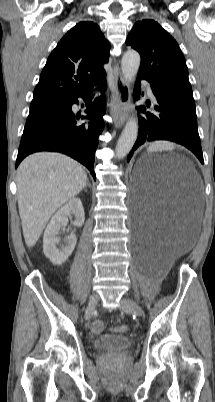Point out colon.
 <instances>
[{
    "instance_id": "1",
    "label": "colon",
    "mask_w": 215,
    "mask_h": 402,
    "mask_svg": "<svg viewBox=\"0 0 215 402\" xmlns=\"http://www.w3.org/2000/svg\"><path fill=\"white\" fill-rule=\"evenodd\" d=\"M121 329H124V327H121ZM91 330L94 334H100L104 330V324L100 320H96L92 323Z\"/></svg>"
}]
</instances>
